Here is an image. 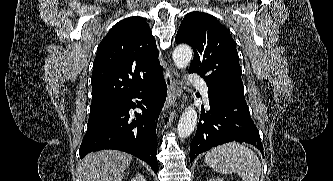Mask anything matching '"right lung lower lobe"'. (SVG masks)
<instances>
[{
    "instance_id": "1",
    "label": "right lung lower lobe",
    "mask_w": 333,
    "mask_h": 181,
    "mask_svg": "<svg viewBox=\"0 0 333 181\" xmlns=\"http://www.w3.org/2000/svg\"><path fill=\"white\" fill-rule=\"evenodd\" d=\"M167 95L164 78L153 86L122 98L101 112L90 116L79 154L83 158L92 151L115 149L128 152L147 162L157 173L156 123ZM133 98L143 99L139 104ZM144 106H140V105ZM140 107L142 114L129 115Z\"/></svg>"
}]
</instances>
